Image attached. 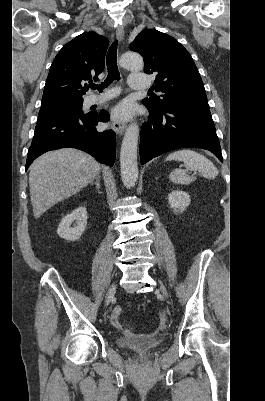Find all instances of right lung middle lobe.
<instances>
[{"mask_svg":"<svg viewBox=\"0 0 265 401\" xmlns=\"http://www.w3.org/2000/svg\"><path fill=\"white\" fill-rule=\"evenodd\" d=\"M83 99L63 100L41 105L38 119L48 115H82Z\"/></svg>","mask_w":265,"mask_h":401,"instance_id":"1","label":"right lung middle lobe"}]
</instances>
